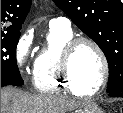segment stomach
<instances>
[{
	"label": "stomach",
	"instance_id": "0dacf381",
	"mask_svg": "<svg viewBox=\"0 0 123 113\" xmlns=\"http://www.w3.org/2000/svg\"><path fill=\"white\" fill-rule=\"evenodd\" d=\"M75 113H103V111L97 105H90L85 107L84 109L76 111Z\"/></svg>",
	"mask_w": 123,
	"mask_h": 113
}]
</instances>
